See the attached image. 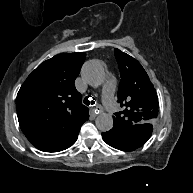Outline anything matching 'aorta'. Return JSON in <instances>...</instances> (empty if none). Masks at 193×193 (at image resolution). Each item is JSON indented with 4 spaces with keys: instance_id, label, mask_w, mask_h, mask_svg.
Instances as JSON below:
<instances>
[{
    "instance_id": "1",
    "label": "aorta",
    "mask_w": 193,
    "mask_h": 193,
    "mask_svg": "<svg viewBox=\"0 0 193 193\" xmlns=\"http://www.w3.org/2000/svg\"><path fill=\"white\" fill-rule=\"evenodd\" d=\"M82 76L92 87L99 86L105 76L102 64L97 60L87 61L82 68ZM96 127L101 132H107L113 127V117L108 113H100L95 120Z\"/></svg>"
}]
</instances>
